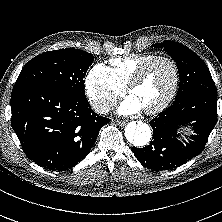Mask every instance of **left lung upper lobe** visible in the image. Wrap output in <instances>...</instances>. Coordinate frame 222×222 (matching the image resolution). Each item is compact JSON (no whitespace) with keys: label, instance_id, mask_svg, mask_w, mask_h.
<instances>
[{"label":"left lung upper lobe","instance_id":"5c2ea615","mask_svg":"<svg viewBox=\"0 0 222 222\" xmlns=\"http://www.w3.org/2000/svg\"><path fill=\"white\" fill-rule=\"evenodd\" d=\"M153 46L164 47L166 52L177 63L180 74V85L176 98L192 93L217 96L208 67L192 50L178 42L169 40L154 44Z\"/></svg>","mask_w":222,"mask_h":222}]
</instances>
